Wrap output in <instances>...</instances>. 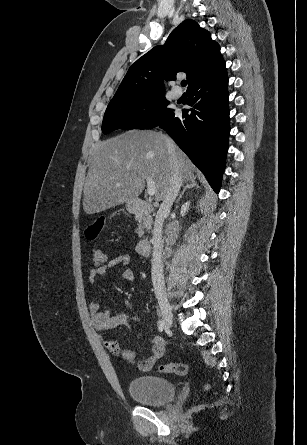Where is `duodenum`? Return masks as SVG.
Wrapping results in <instances>:
<instances>
[{"label":"duodenum","instance_id":"1","mask_svg":"<svg viewBox=\"0 0 307 445\" xmlns=\"http://www.w3.org/2000/svg\"><path fill=\"white\" fill-rule=\"evenodd\" d=\"M152 210V206L142 199H134L129 204L130 213L142 219H146L152 212ZM150 251L151 240L148 236H145L137 244V252L142 256H147L149 255Z\"/></svg>","mask_w":307,"mask_h":445}]
</instances>
